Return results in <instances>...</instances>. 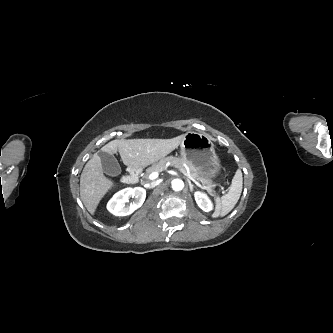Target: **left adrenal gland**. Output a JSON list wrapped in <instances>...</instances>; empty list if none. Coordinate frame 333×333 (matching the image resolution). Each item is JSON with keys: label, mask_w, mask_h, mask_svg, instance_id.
Returning a JSON list of instances; mask_svg holds the SVG:
<instances>
[{"label": "left adrenal gland", "mask_w": 333, "mask_h": 333, "mask_svg": "<svg viewBox=\"0 0 333 333\" xmlns=\"http://www.w3.org/2000/svg\"><path fill=\"white\" fill-rule=\"evenodd\" d=\"M187 182L189 184L190 191L193 192V188H195V186L191 183L189 179H187Z\"/></svg>", "instance_id": "1"}]
</instances>
